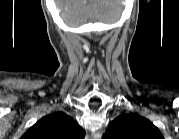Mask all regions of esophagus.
Segmentation results:
<instances>
[{
    "instance_id": "34e87169",
    "label": "esophagus",
    "mask_w": 179,
    "mask_h": 139,
    "mask_svg": "<svg viewBox=\"0 0 179 139\" xmlns=\"http://www.w3.org/2000/svg\"><path fill=\"white\" fill-rule=\"evenodd\" d=\"M102 136V132L101 131H97L92 135L93 139H100Z\"/></svg>"
}]
</instances>
